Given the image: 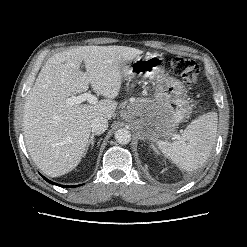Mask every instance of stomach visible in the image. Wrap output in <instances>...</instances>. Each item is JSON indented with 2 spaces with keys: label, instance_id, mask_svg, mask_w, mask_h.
<instances>
[{
  "label": "stomach",
  "instance_id": "0dacf381",
  "mask_svg": "<svg viewBox=\"0 0 247 247\" xmlns=\"http://www.w3.org/2000/svg\"><path fill=\"white\" fill-rule=\"evenodd\" d=\"M121 73L127 81L141 78L155 82L154 98L139 99L135 103L138 112L133 116V124L141 137L154 141L171 136L191 108L185 99L184 84L164 74L163 56H137L122 67Z\"/></svg>",
  "mask_w": 247,
  "mask_h": 247
}]
</instances>
